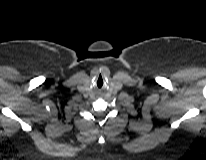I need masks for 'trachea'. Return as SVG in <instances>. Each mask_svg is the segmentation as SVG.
Listing matches in <instances>:
<instances>
[{"label":"trachea","instance_id":"1","mask_svg":"<svg viewBox=\"0 0 206 160\" xmlns=\"http://www.w3.org/2000/svg\"><path fill=\"white\" fill-rule=\"evenodd\" d=\"M97 85H98V87H102L103 86V79H102L101 74L99 75V78H98V81H97Z\"/></svg>","mask_w":206,"mask_h":160}]
</instances>
